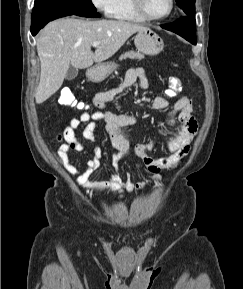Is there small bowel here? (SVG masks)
Instances as JSON below:
<instances>
[{
    "label": "small bowel",
    "mask_w": 243,
    "mask_h": 289,
    "mask_svg": "<svg viewBox=\"0 0 243 289\" xmlns=\"http://www.w3.org/2000/svg\"><path fill=\"white\" fill-rule=\"evenodd\" d=\"M135 82H138L143 89L148 87V79L142 68L129 69L118 88L96 93L93 102L97 110L92 112L82 111L78 117L72 118L69 124L56 135L58 156L65 169L74 177L76 183L89 193H97L101 187L98 183L91 182L90 176L101 170L103 152L99 146L87 148L82 145L76 139V129L83 127L84 138L90 142H95L94 133L97 124L94 121L103 122L109 141L117 150L111 161L114 173L109 174V181L104 184V187L111 192H121L122 190L132 192L159 181L163 171L174 169L180 165L187 156L191 143L198 133V123L193 115L192 101L186 96H181L176 100L172 110L162 122L163 130L171 129L176 122L181 124L180 133L165 142L169 154L164 157L150 156L149 153L154 147L152 143H139L132 146L124 134V128L135 122V116L133 114H116L105 110V107L119 93ZM168 105L169 102L164 96H157L152 101L151 108L153 110H164ZM73 151H89L92 154L91 159L86 162L83 169H79L72 164L70 153ZM129 153H133L141 160L146 170L152 174L151 178L136 184H133L129 178L126 181L122 179L119 174V164L123 157Z\"/></svg>",
    "instance_id": "small-bowel-1"
}]
</instances>
